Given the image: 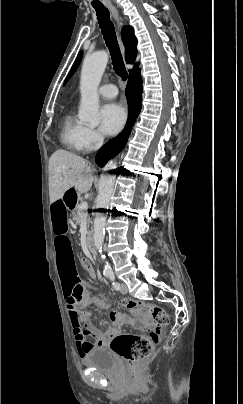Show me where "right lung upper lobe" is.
Returning <instances> with one entry per match:
<instances>
[{"mask_svg":"<svg viewBox=\"0 0 243 404\" xmlns=\"http://www.w3.org/2000/svg\"><path fill=\"white\" fill-rule=\"evenodd\" d=\"M122 40L124 42L126 52H125V60L127 63H134L136 58V46H137V39L134 35V30L130 26H124L121 32ZM140 71V69L136 66L134 69L130 70L129 77L135 74L136 72Z\"/></svg>","mask_w":243,"mask_h":404,"instance_id":"1","label":"right lung upper lobe"}]
</instances>
